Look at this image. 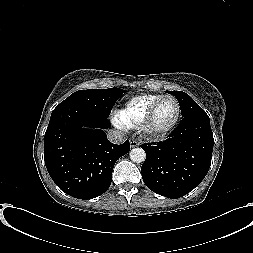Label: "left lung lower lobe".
Returning a JSON list of instances; mask_svg holds the SVG:
<instances>
[{
	"instance_id": "0a47b994",
	"label": "left lung lower lobe",
	"mask_w": 253,
	"mask_h": 253,
	"mask_svg": "<svg viewBox=\"0 0 253 253\" xmlns=\"http://www.w3.org/2000/svg\"><path fill=\"white\" fill-rule=\"evenodd\" d=\"M213 144L206 113L183 117L168 139L141 146L146 153L141 167L145 185L172 199L189 193L200 184L210 168Z\"/></svg>"
}]
</instances>
